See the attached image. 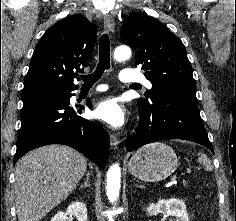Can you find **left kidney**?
<instances>
[{
    "instance_id": "left-kidney-1",
    "label": "left kidney",
    "mask_w": 236,
    "mask_h": 221,
    "mask_svg": "<svg viewBox=\"0 0 236 221\" xmlns=\"http://www.w3.org/2000/svg\"><path fill=\"white\" fill-rule=\"evenodd\" d=\"M147 212L149 215L162 213L173 216L175 217L174 221H189L185 203L176 198L169 200L161 199L156 204H149Z\"/></svg>"
}]
</instances>
